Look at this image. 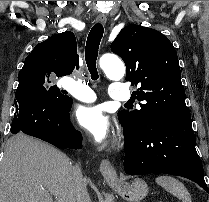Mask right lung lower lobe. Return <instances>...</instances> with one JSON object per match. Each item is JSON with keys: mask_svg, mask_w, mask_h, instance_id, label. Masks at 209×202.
<instances>
[{"mask_svg": "<svg viewBox=\"0 0 209 202\" xmlns=\"http://www.w3.org/2000/svg\"><path fill=\"white\" fill-rule=\"evenodd\" d=\"M15 97L13 134L23 132L59 148H81L82 135L70 122V97L61 105L32 83L19 84Z\"/></svg>", "mask_w": 209, "mask_h": 202, "instance_id": "right-lung-lower-lobe-1", "label": "right lung lower lobe"}]
</instances>
